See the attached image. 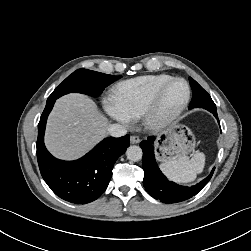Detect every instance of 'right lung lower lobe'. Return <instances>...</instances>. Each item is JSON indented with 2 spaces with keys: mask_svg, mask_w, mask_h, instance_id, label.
Instances as JSON below:
<instances>
[{
  "mask_svg": "<svg viewBox=\"0 0 251 251\" xmlns=\"http://www.w3.org/2000/svg\"><path fill=\"white\" fill-rule=\"evenodd\" d=\"M55 100H47L38 124L37 160L41 175L60 198L75 204H86L99 198L112 176L113 165L129 146V135L109 137L75 161L53 157L44 145L47 117Z\"/></svg>",
  "mask_w": 251,
  "mask_h": 251,
  "instance_id": "right-lung-lower-lobe-1",
  "label": "right lung lower lobe"
}]
</instances>
